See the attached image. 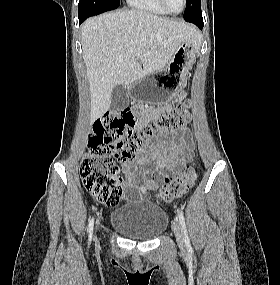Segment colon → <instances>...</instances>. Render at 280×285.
Here are the masks:
<instances>
[{
    "instance_id": "5ec220e1",
    "label": "colon",
    "mask_w": 280,
    "mask_h": 285,
    "mask_svg": "<svg viewBox=\"0 0 280 285\" xmlns=\"http://www.w3.org/2000/svg\"><path fill=\"white\" fill-rule=\"evenodd\" d=\"M191 119L189 102H182L152 119L147 126L133 131L135 117L129 109L111 111L97 120L89 138V150L81 164L85 188L100 202L113 206L122 193V181L117 177L114 158L131 162L145 146L164 131L182 129ZM197 177L193 165L168 180L159 191L162 201L180 197Z\"/></svg>"
}]
</instances>
